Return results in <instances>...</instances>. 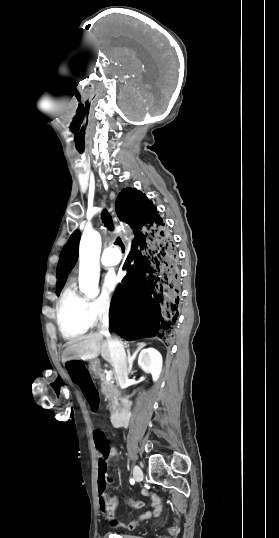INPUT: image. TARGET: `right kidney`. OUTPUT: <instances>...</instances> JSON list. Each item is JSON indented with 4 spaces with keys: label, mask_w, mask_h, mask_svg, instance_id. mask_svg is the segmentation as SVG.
<instances>
[{
    "label": "right kidney",
    "mask_w": 279,
    "mask_h": 538,
    "mask_svg": "<svg viewBox=\"0 0 279 538\" xmlns=\"http://www.w3.org/2000/svg\"><path fill=\"white\" fill-rule=\"evenodd\" d=\"M138 364L144 372L152 374L154 382H157L162 370V356L157 350L154 348L142 350L139 354Z\"/></svg>",
    "instance_id": "right-kidney-1"
}]
</instances>
